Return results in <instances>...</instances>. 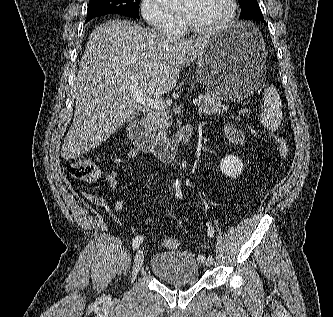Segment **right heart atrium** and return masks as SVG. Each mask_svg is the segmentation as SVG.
Wrapping results in <instances>:
<instances>
[{
  "label": "right heart atrium",
  "mask_w": 333,
  "mask_h": 317,
  "mask_svg": "<svg viewBox=\"0 0 333 317\" xmlns=\"http://www.w3.org/2000/svg\"><path fill=\"white\" fill-rule=\"evenodd\" d=\"M139 10L145 22L161 33L176 35L181 30L180 19L165 10L158 0H140Z\"/></svg>",
  "instance_id": "right-heart-atrium-1"
}]
</instances>
